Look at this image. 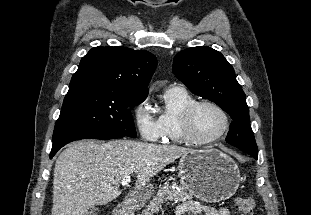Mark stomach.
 <instances>
[{"instance_id": "0dacf381", "label": "stomach", "mask_w": 311, "mask_h": 215, "mask_svg": "<svg viewBox=\"0 0 311 215\" xmlns=\"http://www.w3.org/2000/svg\"><path fill=\"white\" fill-rule=\"evenodd\" d=\"M182 187L195 197L210 203L232 197L240 183V171L234 160L216 149L193 150L181 157L178 165ZM154 192L151 184L136 190L129 206L138 209Z\"/></svg>"}]
</instances>
